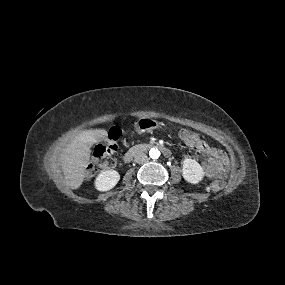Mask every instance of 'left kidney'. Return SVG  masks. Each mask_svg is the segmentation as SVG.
<instances>
[{
	"label": "left kidney",
	"mask_w": 285,
	"mask_h": 285,
	"mask_svg": "<svg viewBox=\"0 0 285 285\" xmlns=\"http://www.w3.org/2000/svg\"><path fill=\"white\" fill-rule=\"evenodd\" d=\"M182 164V175L187 182L197 184L203 179L204 170L197 161L186 158Z\"/></svg>",
	"instance_id": "5707ae66"
}]
</instances>
